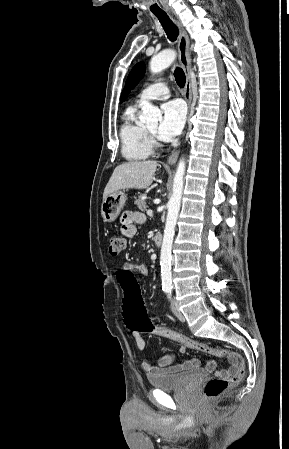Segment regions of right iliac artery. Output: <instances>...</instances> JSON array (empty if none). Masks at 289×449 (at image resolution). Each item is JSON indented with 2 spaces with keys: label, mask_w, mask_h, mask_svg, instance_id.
<instances>
[{
  "label": "right iliac artery",
  "mask_w": 289,
  "mask_h": 449,
  "mask_svg": "<svg viewBox=\"0 0 289 449\" xmlns=\"http://www.w3.org/2000/svg\"><path fill=\"white\" fill-rule=\"evenodd\" d=\"M164 291L167 293L169 291V289H165Z\"/></svg>",
  "instance_id": "right-iliac-artery-1"
}]
</instances>
